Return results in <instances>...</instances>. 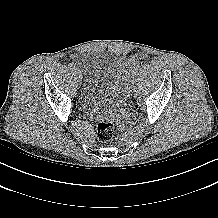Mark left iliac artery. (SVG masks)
<instances>
[{
    "label": "left iliac artery",
    "mask_w": 218,
    "mask_h": 218,
    "mask_svg": "<svg viewBox=\"0 0 218 218\" xmlns=\"http://www.w3.org/2000/svg\"><path fill=\"white\" fill-rule=\"evenodd\" d=\"M130 82H128V86H127V91L128 90H131L132 91V89H133V85H135L136 84V77L135 76H132V77H130L129 79H128Z\"/></svg>",
    "instance_id": "1"
}]
</instances>
